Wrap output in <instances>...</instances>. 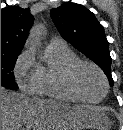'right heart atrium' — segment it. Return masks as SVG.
<instances>
[{
  "label": "right heart atrium",
  "mask_w": 123,
  "mask_h": 130,
  "mask_svg": "<svg viewBox=\"0 0 123 130\" xmlns=\"http://www.w3.org/2000/svg\"><path fill=\"white\" fill-rule=\"evenodd\" d=\"M14 73L18 86L23 91L34 94L40 78V64L31 49H26L20 54Z\"/></svg>",
  "instance_id": "d8ad5b80"
}]
</instances>
